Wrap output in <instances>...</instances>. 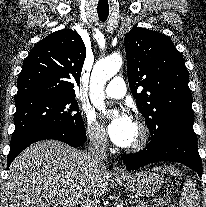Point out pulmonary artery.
Here are the masks:
<instances>
[{
    "label": "pulmonary artery",
    "mask_w": 206,
    "mask_h": 207,
    "mask_svg": "<svg viewBox=\"0 0 206 207\" xmlns=\"http://www.w3.org/2000/svg\"><path fill=\"white\" fill-rule=\"evenodd\" d=\"M127 87L122 77L116 76L111 79L105 89V94L110 98H121L126 94Z\"/></svg>",
    "instance_id": "obj_1"
}]
</instances>
